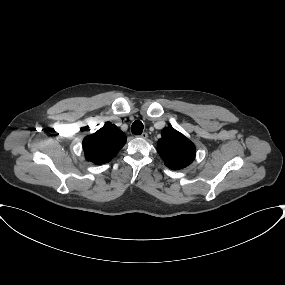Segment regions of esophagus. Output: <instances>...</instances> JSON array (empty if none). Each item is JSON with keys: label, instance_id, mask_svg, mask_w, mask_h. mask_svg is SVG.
I'll list each match as a JSON object with an SVG mask.
<instances>
[{"label": "esophagus", "instance_id": "34e87169", "mask_svg": "<svg viewBox=\"0 0 285 285\" xmlns=\"http://www.w3.org/2000/svg\"><path fill=\"white\" fill-rule=\"evenodd\" d=\"M139 137L142 139H146L148 137V134L146 132H143Z\"/></svg>", "mask_w": 285, "mask_h": 285}]
</instances>
